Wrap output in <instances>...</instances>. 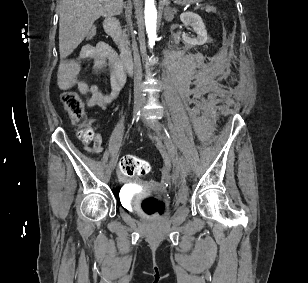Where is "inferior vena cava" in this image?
<instances>
[{"label":"inferior vena cava","instance_id":"inferior-vena-cava-1","mask_svg":"<svg viewBox=\"0 0 308 283\" xmlns=\"http://www.w3.org/2000/svg\"><path fill=\"white\" fill-rule=\"evenodd\" d=\"M132 7L129 8L128 6L126 7V18H127V23H128V26H129V35H131V45L133 47V51H134V60H135V73H134V84L136 86H138L141 81H142V68H141V63H140V57H139V53H138V49H137V43H138V38L136 36V34H134L135 32V28H134V22L131 18V14H132V11H131Z\"/></svg>","mask_w":308,"mask_h":283}]
</instances>
